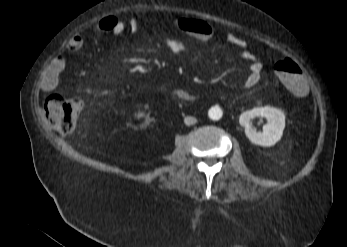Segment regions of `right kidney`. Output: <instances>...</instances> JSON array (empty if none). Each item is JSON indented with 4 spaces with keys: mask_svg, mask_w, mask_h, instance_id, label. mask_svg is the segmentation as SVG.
<instances>
[{
    "mask_svg": "<svg viewBox=\"0 0 347 247\" xmlns=\"http://www.w3.org/2000/svg\"><path fill=\"white\" fill-rule=\"evenodd\" d=\"M137 117H142V114H141V113H139V114L137 115Z\"/></svg>",
    "mask_w": 347,
    "mask_h": 247,
    "instance_id": "obj_1",
    "label": "right kidney"
}]
</instances>
